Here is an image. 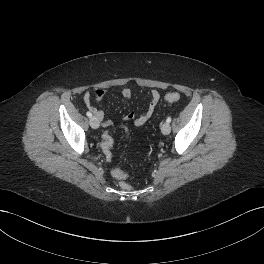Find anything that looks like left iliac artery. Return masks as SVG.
<instances>
[{
    "instance_id": "obj_1",
    "label": "left iliac artery",
    "mask_w": 264,
    "mask_h": 264,
    "mask_svg": "<svg viewBox=\"0 0 264 264\" xmlns=\"http://www.w3.org/2000/svg\"><path fill=\"white\" fill-rule=\"evenodd\" d=\"M166 122L170 123L171 122V117H168Z\"/></svg>"
}]
</instances>
